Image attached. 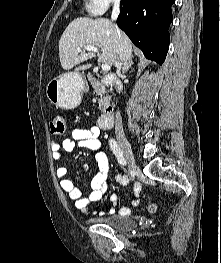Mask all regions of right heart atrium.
Wrapping results in <instances>:
<instances>
[{"label":"right heart atrium","mask_w":221,"mask_h":263,"mask_svg":"<svg viewBox=\"0 0 221 263\" xmlns=\"http://www.w3.org/2000/svg\"><path fill=\"white\" fill-rule=\"evenodd\" d=\"M119 0H87V10L92 15L103 14L111 5L117 4Z\"/></svg>","instance_id":"1"}]
</instances>
